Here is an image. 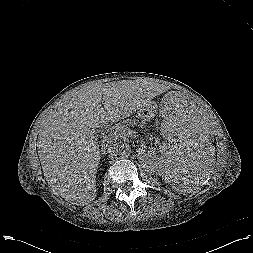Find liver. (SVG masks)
Returning a JSON list of instances; mask_svg holds the SVG:
<instances>
[{
	"mask_svg": "<svg viewBox=\"0 0 253 253\" xmlns=\"http://www.w3.org/2000/svg\"><path fill=\"white\" fill-rule=\"evenodd\" d=\"M155 95L146 83L123 80L87 86L57 104L40 124L38 154L48 184L75 205L91 203L100 162L95 128L130 117Z\"/></svg>",
	"mask_w": 253,
	"mask_h": 253,
	"instance_id": "obj_1",
	"label": "liver"
}]
</instances>
